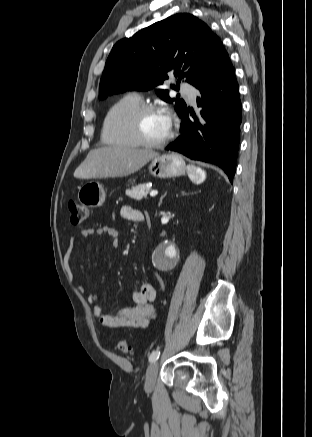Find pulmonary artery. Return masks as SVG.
<instances>
[{
	"label": "pulmonary artery",
	"instance_id": "obj_1",
	"mask_svg": "<svg viewBox=\"0 0 312 437\" xmlns=\"http://www.w3.org/2000/svg\"><path fill=\"white\" fill-rule=\"evenodd\" d=\"M182 90L188 96L190 102L192 104H195V102H196V95H197L196 89H194L193 87L187 86V85H183L182 86Z\"/></svg>",
	"mask_w": 312,
	"mask_h": 437
}]
</instances>
